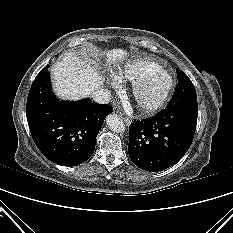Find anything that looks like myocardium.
<instances>
[{
    "mask_svg": "<svg viewBox=\"0 0 233 233\" xmlns=\"http://www.w3.org/2000/svg\"><path fill=\"white\" fill-rule=\"evenodd\" d=\"M162 75L166 79V85L161 93L153 99H146L144 94L151 80L156 75ZM174 85V78L172 74L163 68H158L149 71L140 79H138L133 85V97L134 100L142 112L152 113L160 109L167 101L171 90Z\"/></svg>",
    "mask_w": 233,
    "mask_h": 233,
    "instance_id": "myocardium-1",
    "label": "myocardium"
}]
</instances>
